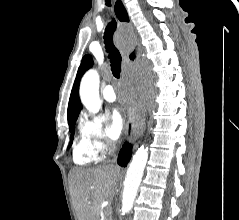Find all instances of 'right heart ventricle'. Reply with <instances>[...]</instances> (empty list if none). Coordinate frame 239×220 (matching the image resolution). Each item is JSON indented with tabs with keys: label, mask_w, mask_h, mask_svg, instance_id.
Here are the masks:
<instances>
[{
	"label": "right heart ventricle",
	"mask_w": 239,
	"mask_h": 220,
	"mask_svg": "<svg viewBox=\"0 0 239 220\" xmlns=\"http://www.w3.org/2000/svg\"><path fill=\"white\" fill-rule=\"evenodd\" d=\"M98 157L88 143L81 137L75 143L73 149V161L78 165H87L96 161Z\"/></svg>",
	"instance_id": "1"
}]
</instances>
